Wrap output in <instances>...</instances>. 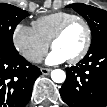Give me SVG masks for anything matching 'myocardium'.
Listing matches in <instances>:
<instances>
[{
	"label": "myocardium",
	"instance_id": "f54148a6",
	"mask_svg": "<svg viewBox=\"0 0 107 107\" xmlns=\"http://www.w3.org/2000/svg\"><path fill=\"white\" fill-rule=\"evenodd\" d=\"M79 22L82 23L85 27L86 30V41L85 44L82 48V50L74 57L67 59L69 63H77L80 60H82L88 53L90 47H91V43H92V30L91 27L89 25V23L82 17H73L69 20H67L66 22H64L58 29L57 31L54 33L51 41H50V46L51 48H53L54 44L56 41H58L63 35L64 33L67 31V29L74 23Z\"/></svg>",
	"mask_w": 107,
	"mask_h": 107
}]
</instances>
